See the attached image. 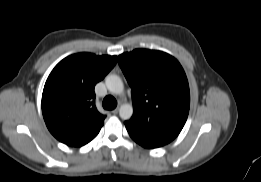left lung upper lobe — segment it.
I'll return each instance as SVG.
<instances>
[{"instance_id": "left-lung-upper-lobe-1", "label": "left lung upper lobe", "mask_w": 261, "mask_h": 182, "mask_svg": "<svg viewBox=\"0 0 261 182\" xmlns=\"http://www.w3.org/2000/svg\"><path fill=\"white\" fill-rule=\"evenodd\" d=\"M132 89L134 114L125 122L132 135L167 144L188 117L189 85L179 62L156 50L135 49L118 57Z\"/></svg>"}]
</instances>
